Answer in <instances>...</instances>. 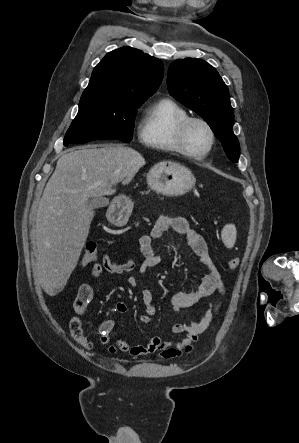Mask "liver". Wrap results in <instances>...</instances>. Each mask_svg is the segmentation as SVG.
Returning a JSON list of instances; mask_svg holds the SVG:
<instances>
[{
    "label": "liver",
    "mask_w": 299,
    "mask_h": 443,
    "mask_svg": "<svg viewBox=\"0 0 299 443\" xmlns=\"http://www.w3.org/2000/svg\"><path fill=\"white\" fill-rule=\"evenodd\" d=\"M145 163L122 145L82 147L59 158L36 214L35 274L48 295L63 290L77 265L94 217L89 198L113 193Z\"/></svg>",
    "instance_id": "1"
}]
</instances>
